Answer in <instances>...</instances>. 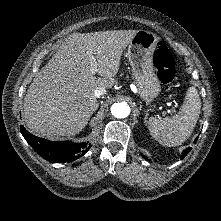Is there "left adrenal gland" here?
Segmentation results:
<instances>
[{
  "mask_svg": "<svg viewBox=\"0 0 221 221\" xmlns=\"http://www.w3.org/2000/svg\"><path fill=\"white\" fill-rule=\"evenodd\" d=\"M147 116H148V113L146 112V116H145V122H146Z\"/></svg>",
  "mask_w": 221,
  "mask_h": 221,
  "instance_id": "left-adrenal-gland-1",
  "label": "left adrenal gland"
}]
</instances>
